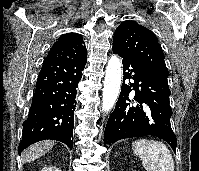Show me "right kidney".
Here are the masks:
<instances>
[{"mask_svg": "<svg viewBox=\"0 0 199 171\" xmlns=\"http://www.w3.org/2000/svg\"><path fill=\"white\" fill-rule=\"evenodd\" d=\"M42 171H61L60 169H58L55 166H45Z\"/></svg>", "mask_w": 199, "mask_h": 171, "instance_id": "obj_1", "label": "right kidney"}]
</instances>
